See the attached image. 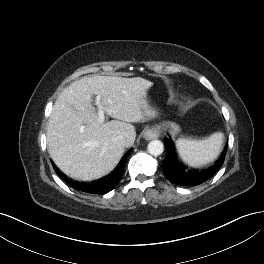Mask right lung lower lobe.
Masks as SVG:
<instances>
[{
    "label": "right lung lower lobe",
    "mask_w": 264,
    "mask_h": 264,
    "mask_svg": "<svg viewBox=\"0 0 264 264\" xmlns=\"http://www.w3.org/2000/svg\"><path fill=\"white\" fill-rule=\"evenodd\" d=\"M127 156L128 154L124 156L122 161L119 163V165L115 168V170L109 176H107L105 179H102L97 182H93L91 184L77 183V182H74V181H71L65 178L58 171H56V173L62 179H64L68 183V185H70L76 190L87 192V193H93V194L107 193L111 191L121 179Z\"/></svg>",
    "instance_id": "obj_1"
}]
</instances>
